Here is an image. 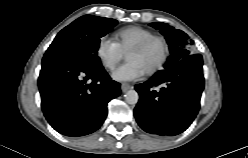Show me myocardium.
I'll list each match as a JSON object with an SVG mask.
<instances>
[{"mask_svg":"<svg viewBox=\"0 0 248 158\" xmlns=\"http://www.w3.org/2000/svg\"><path fill=\"white\" fill-rule=\"evenodd\" d=\"M158 42L161 45L162 53L159 61L153 66L151 69L146 71L148 75H153L160 71L165 63L167 62L169 56V44L167 40L162 36L152 35L150 37L145 38L144 40L140 41L136 45H134L129 51L128 54L131 52L142 51L146 49L151 43Z\"/></svg>","mask_w":248,"mask_h":158,"instance_id":"myocardium-1","label":"myocardium"}]
</instances>
